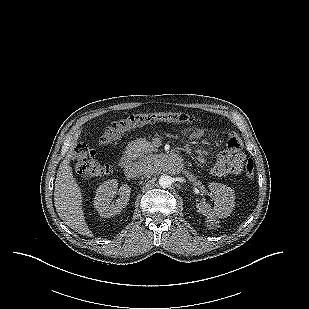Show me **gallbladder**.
<instances>
[{"label": "gallbladder", "mask_w": 309, "mask_h": 309, "mask_svg": "<svg viewBox=\"0 0 309 309\" xmlns=\"http://www.w3.org/2000/svg\"><path fill=\"white\" fill-rule=\"evenodd\" d=\"M76 157V154L75 153H73V158H75Z\"/></svg>", "instance_id": "gallbladder-1"}]
</instances>
